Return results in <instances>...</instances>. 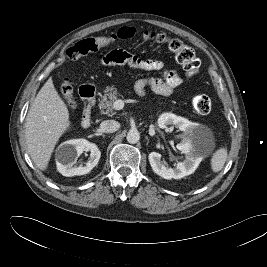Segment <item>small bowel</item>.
<instances>
[{"mask_svg":"<svg viewBox=\"0 0 267 267\" xmlns=\"http://www.w3.org/2000/svg\"><path fill=\"white\" fill-rule=\"evenodd\" d=\"M102 64L105 66H126L132 70L161 71L164 70V64L157 59L143 60L136 55L123 50H113L102 58ZM182 77L173 70H164L163 77H145L136 81L135 91L143 96L146 88H150L157 94L169 96L180 87Z\"/></svg>","mask_w":267,"mask_h":267,"instance_id":"small-bowel-1","label":"small bowel"}]
</instances>
